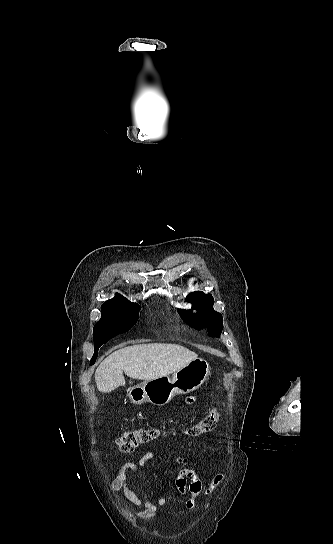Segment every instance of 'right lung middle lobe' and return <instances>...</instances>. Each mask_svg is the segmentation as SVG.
Returning a JSON list of instances; mask_svg holds the SVG:
<instances>
[{
	"label": "right lung middle lobe",
	"instance_id": "dd1d6c3e",
	"mask_svg": "<svg viewBox=\"0 0 333 544\" xmlns=\"http://www.w3.org/2000/svg\"><path fill=\"white\" fill-rule=\"evenodd\" d=\"M140 306L130 301L104 303L101 307V318L93 328L95 344L94 355L90 364H94L99 347L118 334L127 332L137 322Z\"/></svg>",
	"mask_w": 333,
	"mask_h": 544
}]
</instances>
